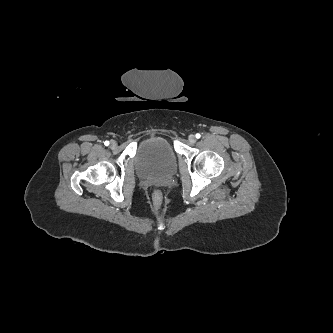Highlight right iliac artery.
Wrapping results in <instances>:
<instances>
[{
  "instance_id": "82829eb1",
  "label": "right iliac artery",
  "mask_w": 333,
  "mask_h": 333,
  "mask_svg": "<svg viewBox=\"0 0 333 333\" xmlns=\"http://www.w3.org/2000/svg\"><path fill=\"white\" fill-rule=\"evenodd\" d=\"M104 145H105V146H108V145H109V141H105V142H104Z\"/></svg>"
}]
</instances>
